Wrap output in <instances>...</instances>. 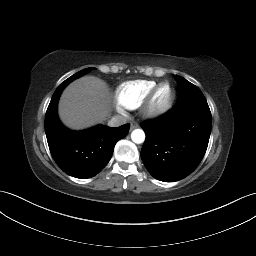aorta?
Returning <instances> with one entry per match:
<instances>
[{
    "label": "aorta",
    "instance_id": "obj_1",
    "mask_svg": "<svg viewBox=\"0 0 256 256\" xmlns=\"http://www.w3.org/2000/svg\"><path fill=\"white\" fill-rule=\"evenodd\" d=\"M131 139L136 144H141L145 140V133L141 129H135L131 133Z\"/></svg>",
    "mask_w": 256,
    "mask_h": 256
}]
</instances>
